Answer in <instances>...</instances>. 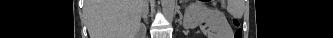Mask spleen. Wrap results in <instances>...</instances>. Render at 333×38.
Here are the masks:
<instances>
[{
    "label": "spleen",
    "instance_id": "1",
    "mask_svg": "<svg viewBox=\"0 0 333 38\" xmlns=\"http://www.w3.org/2000/svg\"><path fill=\"white\" fill-rule=\"evenodd\" d=\"M229 10L233 13V14H237L236 10L232 7V8H229Z\"/></svg>",
    "mask_w": 333,
    "mask_h": 38
}]
</instances>
